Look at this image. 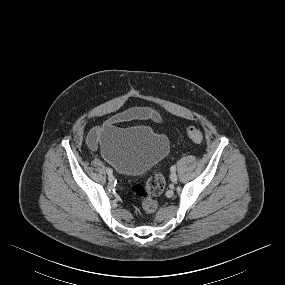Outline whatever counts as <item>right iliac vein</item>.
Returning <instances> with one entry per match:
<instances>
[{"label":"right iliac vein","instance_id":"1","mask_svg":"<svg viewBox=\"0 0 285 285\" xmlns=\"http://www.w3.org/2000/svg\"><path fill=\"white\" fill-rule=\"evenodd\" d=\"M108 180H109V182H113L114 181V176L112 175V174H110L109 176H108Z\"/></svg>","mask_w":285,"mask_h":285}]
</instances>
